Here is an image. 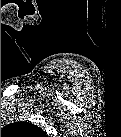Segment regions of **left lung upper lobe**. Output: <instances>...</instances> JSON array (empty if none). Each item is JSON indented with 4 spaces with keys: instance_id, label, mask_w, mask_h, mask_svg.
<instances>
[{
    "instance_id": "left-lung-upper-lobe-1",
    "label": "left lung upper lobe",
    "mask_w": 121,
    "mask_h": 137,
    "mask_svg": "<svg viewBox=\"0 0 121 137\" xmlns=\"http://www.w3.org/2000/svg\"><path fill=\"white\" fill-rule=\"evenodd\" d=\"M4 131V134L9 137H41L45 135L40 127L28 122H14L8 125Z\"/></svg>"
}]
</instances>
